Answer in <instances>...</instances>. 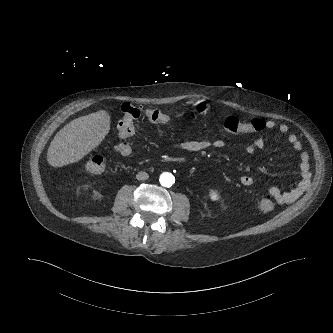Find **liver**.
Returning a JSON list of instances; mask_svg holds the SVG:
<instances>
[{"mask_svg": "<svg viewBox=\"0 0 333 333\" xmlns=\"http://www.w3.org/2000/svg\"><path fill=\"white\" fill-rule=\"evenodd\" d=\"M105 110L74 119L56 133L47 151V161L62 167L81 160L97 147L110 131L111 119Z\"/></svg>", "mask_w": 333, "mask_h": 333, "instance_id": "liver-1", "label": "liver"}]
</instances>
